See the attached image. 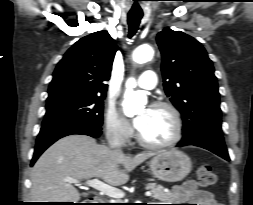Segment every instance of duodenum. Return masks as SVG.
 Here are the masks:
<instances>
[{"label": "duodenum", "instance_id": "410a0bca", "mask_svg": "<svg viewBox=\"0 0 253 205\" xmlns=\"http://www.w3.org/2000/svg\"><path fill=\"white\" fill-rule=\"evenodd\" d=\"M93 201H94L96 204H99L102 200H101L100 197L95 196V197L93 198Z\"/></svg>", "mask_w": 253, "mask_h": 205}]
</instances>
